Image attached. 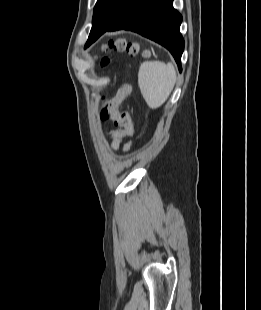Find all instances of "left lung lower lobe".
Instances as JSON below:
<instances>
[{"mask_svg":"<svg viewBox=\"0 0 261 310\" xmlns=\"http://www.w3.org/2000/svg\"><path fill=\"white\" fill-rule=\"evenodd\" d=\"M173 0H123L108 23H95L85 47L106 31L131 30L166 47L181 71L184 40L179 28L182 16L173 8Z\"/></svg>","mask_w":261,"mask_h":310,"instance_id":"0a47b994","label":"left lung lower lobe"}]
</instances>
